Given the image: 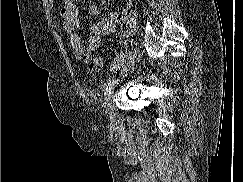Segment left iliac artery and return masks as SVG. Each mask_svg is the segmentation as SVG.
Returning <instances> with one entry per match:
<instances>
[{"instance_id":"obj_1","label":"left iliac artery","mask_w":243,"mask_h":182,"mask_svg":"<svg viewBox=\"0 0 243 182\" xmlns=\"http://www.w3.org/2000/svg\"><path fill=\"white\" fill-rule=\"evenodd\" d=\"M114 83H115V80L114 79L113 80H110V82L108 83L107 87L105 88V92H104L105 96L108 95V94H110L111 89H112Z\"/></svg>"}]
</instances>
